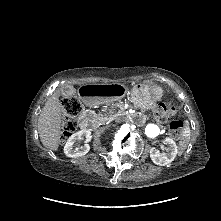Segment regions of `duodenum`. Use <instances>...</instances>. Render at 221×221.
<instances>
[{"instance_id": "410a0bca", "label": "duodenum", "mask_w": 221, "mask_h": 221, "mask_svg": "<svg viewBox=\"0 0 221 221\" xmlns=\"http://www.w3.org/2000/svg\"><path fill=\"white\" fill-rule=\"evenodd\" d=\"M123 93L124 89L119 85H82L78 89V96L89 105L113 101ZM132 118L138 120L140 115H132ZM93 123V119L87 114L79 118V125L83 131H90Z\"/></svg>"}]
</instances>
